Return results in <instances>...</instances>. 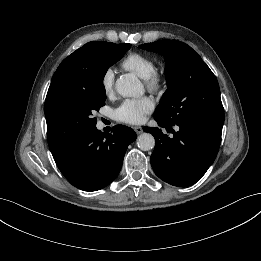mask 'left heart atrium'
<instances>
[{
	"mask_svg": "<svg viewBox=\"0 0 261 261\" xmlns=\"http://www.w3.org/2000/svg\"><path fill=\"white\" fill-rule=\"evenodd\" d=\"M153 109L154 103L148 97L126 99L114 110V118L127 124H140Z\"/></svg>",
	"mask_w": 261,
	"mask_h": 261,
	"instance_id": "1",
	"label": "left heart atrium"
}]
</instances>
